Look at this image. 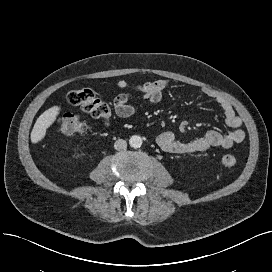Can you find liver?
Segmentation results:
<instances>
[{"mask_svg":"<svg viewBox=\"0 0 272 272\" xmlns=\"http://www.w3.org/2000/svg\"><path fill=\"white\" fill-rule=\"evenodd\" d=\"M60 110V106H53L38 117L31 132V142L33 144L38 143L45 137L47 129L54 123Z\"/></svg>","mask_w":272,"mask_h":272,"instance_id":"obj_1","label":"liver"}]
</instances>
